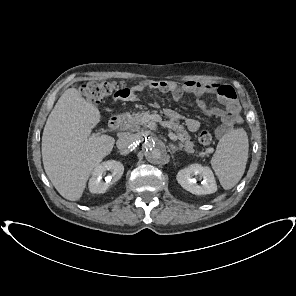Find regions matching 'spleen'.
Instances as JSON below:
<instances>
[{"label": "spleen", "mask_w": 296, "mask_h": 296, "mask_svg": "<svg viewBox=\"0 0 296 296\" xmlns=\"http://www.w3.org/2000/svg\"><path fill=\"white\" fill-rule=\"evenodd\" d=\"M248 150V137L243 128L231 129L219 140L211 166L224 189H231L242 178Z\"/></svg>", "instance_id": "3e777b00"}]
</instances>
